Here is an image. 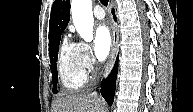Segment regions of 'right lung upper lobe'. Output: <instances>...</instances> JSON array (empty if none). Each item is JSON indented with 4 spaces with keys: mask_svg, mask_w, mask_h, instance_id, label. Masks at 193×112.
Segmentation results:
<instances>
[{
    "mask_svg": "<svg viewBox=\"0 0 193 112\" xmlns=\"http://www.w3.org/2000/svg\"><path fill=\"white\" fill-rule=\"evenodd\" d=\"M70 20V0H55L49 22V47L62 34Z\"/></svg>",
    "mask_w": 193,
    "mask_h": 112,
    "instance_id": "right-lung-upper-lobe-1",
    "label": "right lung upper lobe"
}]
</instances>
